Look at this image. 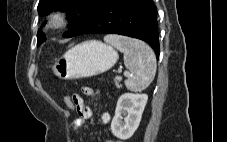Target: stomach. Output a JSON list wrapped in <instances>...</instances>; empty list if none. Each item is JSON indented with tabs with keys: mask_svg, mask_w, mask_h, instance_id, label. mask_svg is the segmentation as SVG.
<instances>
[{
	"mask_svg": "<svg viewBox=\"0 0 227 142\" xmlns=\"http://www.w3.org/2000/svg\"><path fill=\"white\" fill-rule=\"evenodd\" d=\"M118 60V53L100 41H86L69 48L53 66L61 79H80L106 72Z\"/></svg>",
	"mask_w": 227,
	"mask_h": 142,
	"instance_id": "0dacf381",
	"label": "stomach"
}]
</instances>
